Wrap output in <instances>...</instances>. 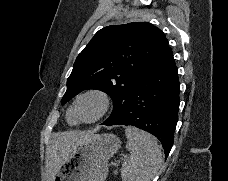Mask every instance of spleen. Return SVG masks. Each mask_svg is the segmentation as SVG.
Here are the masks:
<instances>
[{
	"label": "spleen",
	"instance_id": "3e777b00",
	"mask_svg": "<svg viewBox=\"0 0 228 181\" xmlns=\"http://www.w3.org/2000/svg\"><path fill=\"white\" fill-rule=\"evenodd\" d=\"M125 135L126 149L131 155L124 159L121 167L122 181H152L162 165L160 145L155 137L136 127H125Z\"/></svg>",
	"mask_w": 228,
	"mask_h": 181
}]
</instances>
